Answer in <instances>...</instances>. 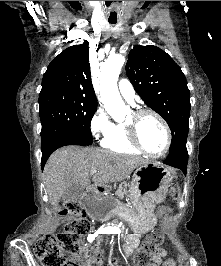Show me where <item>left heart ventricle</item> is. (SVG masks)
Segmentation results:
<instances>
[{
  "instance_id": "b2bd125f",
  "label": "left heart ventricle",
  "mask_w": 221,
  "mask_h": 266,
  "mask_svg": "<svg viewBox=\"0 0 221 266\" xmlns=\"http://www.w3.org/2000/svg\"><path fill=\"white\" fill-rule=\"evenodd\" d=\"M132 114L126 123L131 122ZM138 136L142 145L150 152H160L165 145V131L160 122L152 115H145L138 122Z\"/></svg>"
}]
</instances>
